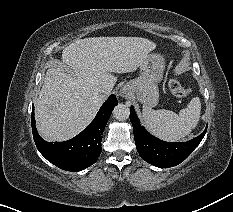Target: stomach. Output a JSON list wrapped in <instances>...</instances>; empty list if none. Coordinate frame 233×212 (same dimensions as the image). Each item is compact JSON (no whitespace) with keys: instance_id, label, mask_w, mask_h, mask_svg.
<instances>
[{"instance_id":"stomach-1","label":"stomach","mask_w":233,"mask_h":212,"mask_svg":"<svg viewBox=\"0 0 233 212\" xmlns=\"http://www.w3.org/2000/svg\"><path fill=\"white\" fill-rule=\"evenodd\" d=\"M165 68L164 57L158 53H149L139 66L140 75L130 81V87L137 100L146 106L154 107L159 101L158 83L162 80Z\"/></svg>"}]
</instances>
